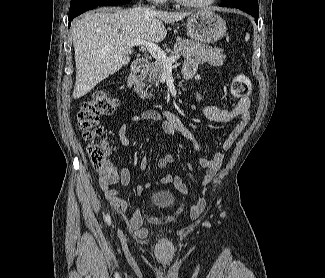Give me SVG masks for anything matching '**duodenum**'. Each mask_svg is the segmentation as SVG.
I'll use <instances>...</instances> for the list:
<instances>
[{
    "mask_svg": "<svg viewBox=\"0 0 325 278\" xmlns=\"http://www.w3.org/2000/svg\"><path fill=\"white\" fill-rule=\"evenodd\" d=\"M149 68V62L144 58H138L131 69V74L127 82V87L131 92H136L139 81L144 77Z\"/></svg>",
    "mask_w": 325,
    "mask_h": 278,
    "instance_id": "duodenum-1",
    "label": "duodenum"
}]
</instances>
